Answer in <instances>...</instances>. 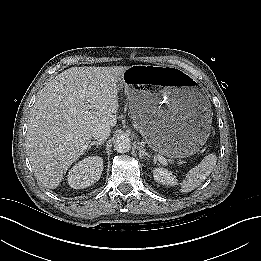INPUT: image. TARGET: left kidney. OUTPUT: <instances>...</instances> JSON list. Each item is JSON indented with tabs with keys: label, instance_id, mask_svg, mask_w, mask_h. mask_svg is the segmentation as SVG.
<instances>
[{
	"label": "left kidney",
	"instance_id": "obj_1",
	"mask_svg": "<svg viewBox=\"0 0 261 261\" xmlns=\"http://www.w3.org/2000/svg\"><path fill=\"white\" fill-rule=\"evenodd\" d=\"M153 177L156 182L167 186H173L177 184L176 177L167 169L155 168L153 170Z\"/></svg>",
	"mask_w": 261,
	"mask_h": 261
}]
</instances>
